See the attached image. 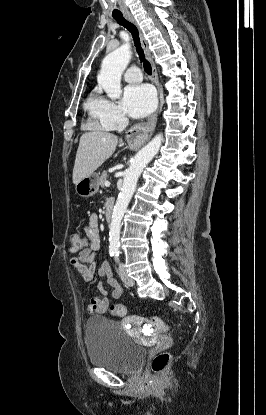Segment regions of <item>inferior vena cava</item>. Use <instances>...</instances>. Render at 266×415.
I'll return each instance as SVG.
<instances>
[{
	"mask_svg": "<svg viewBox=\"0 0 266 415\" xmlns=\"http://www.w3.org/2000/svg\"><path fill=\"white\" fill-rule=\"evenodd\" d=\"M128 124V120L126 118L122 119L121 122L118 125V131L121 132L125 129V127Z\"/></svg>",
	"mask_w": 266,
	"mask_h": 415,
	"instance_id": "inferior-vena-cava-1",
	"label": "inferior vena cava"
}]
</instances>
